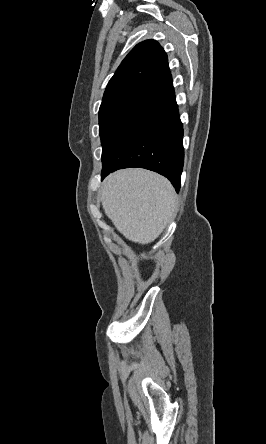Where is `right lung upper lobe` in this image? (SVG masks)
Wrapping results in <instances>:
<instances>
[{"label":"right lung upper lobe","instance_id":"right-lung-upper-lobe-1","mask_svg":"<svg viewBox=\"0 0 266 444\" xmlns=\"http://www.w3.org/2000/svg\"><path fill=\"white\" fill-rule=\"evenodd\" d=\"M132 94H145L165 104L175 100L167 54L155 40L137 44L110 79L102 104Z\"/></svg>","mask_w":266,"mask_h":444}]
</instances>
